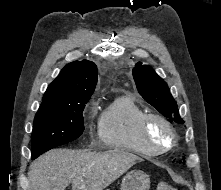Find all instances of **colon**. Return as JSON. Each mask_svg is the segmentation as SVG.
Segmentation results:
<instances>
[{"instance_id":"5ec220e1","label":"colon","mask_w":221,"mask_h":190,"mask_svg":"<svg viewBox=\"0 0 221 190\" xmlns=\"http://www.w3.org/2000/svg\"><path fill=\"white\" fill-rule=\"evenodd\" d=\"M156 190H179L177 189L176 187L168 184V183H165V182H160L158 185H157V189Z\"/></svg>"}]
</instances>
